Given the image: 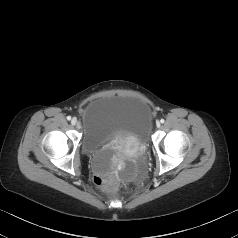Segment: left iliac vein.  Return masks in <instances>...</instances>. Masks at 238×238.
<instances>
[{
	"instance_id": "left-iliac-vein-1",
	"label": "left iliac vein",
	"mask_w": 238,
	"mask_h": 238,
	"mask_svg": "<svg viewBox=\"0 0 238 238\" xmlns=\"http://www.w3.org/2000/svg\"><path fill=\"white\" fill-rule=\"evenodd\" d=\"M156 126H157V127H160V122H156Z\"/></svg>"
}]
</instances>
